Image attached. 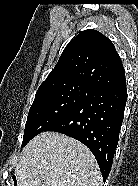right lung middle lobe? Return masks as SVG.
I'll list each match as a JSON object with an SVG mask.
<instances>
[{
  "label": "right lung middle lobe",
  "mask_w": 138,
  "mask_h": 186,
  "mask_svg": "<svg viewBox=\"0 0 138 186\" xmlns=\"http://www.w3.org/2000/svg\"><path fill=\"white\" fill-rule=\"evenodd\" d=\"M90 88L71 85L38 92L29 110L22 147L85 101Z\"/></svg>",
  "instance_id": "obj_1"
}]
</instances>
